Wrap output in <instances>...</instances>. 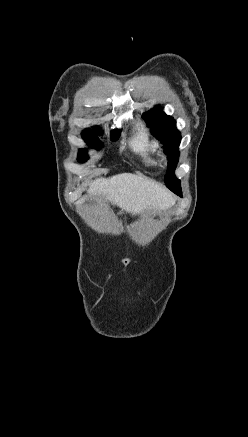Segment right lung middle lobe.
<instances>
[{
	"instance_id": "obj_1",
	"label": "right lung middle lobe",
	"mask_w": 248,
	"mask_h": 437,
	"mask_svg": "<svg viewBox=\"0 0 248 437\" xmlns=\"http://www.w3.org/2000/svg\"><path fill=\"white\" fill-rule=\"evenodd\" d=\"M94 130H96L97 132H100V130L97 127H94ZM111 135H112L111 139L113 141H115L119 138L120 131L119 130L114 131ZM82 137L91 147H94L96 149H99L101 147V142L97 141L96 133L93 130L86 129L85 131H83ZM87 159H88L87 150L80 149L79 155H78V160L80 162H85V161H87Z\"/></svg>"
}]
</instances>
